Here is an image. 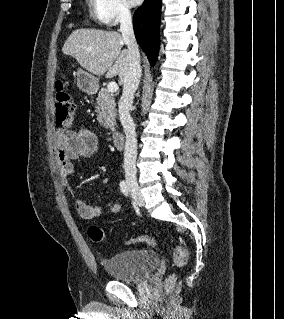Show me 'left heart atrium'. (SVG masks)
<instances>
[{
  "mask_svg": "<svg viewBox=\"0 0 284 319\" xmlns=\"http://www.w3.org/2000/svg\"><path fill=\"white\" fill-rule=\"evenodd\" d=\"M130 6H137L142 3L143 0H125Z\"/></svg>",
  "mask_w": 284,
  "mask_h": 319,
  "instance_id": "obj_1",
  "label": "left heart atrium"
}]
</instances>
